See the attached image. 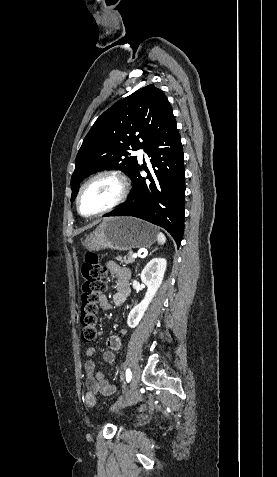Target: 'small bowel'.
<instances>
[{"label": "small bowel", "mask_w": 277, "mask_h": 477, "mask_svg": "<svg viewBox=\"0 0 277 477\" xmlns=\"http://www.w3.org/2000/svg\"><path fill=\"white\" fill-rule=\"evenodd\" d=\"M105 268L111 275L116 276V291L113 295V302L116 305L123 304L130 292L129 280H130V271L129 269L120 266L114 261H109L105 264ZM101 308L103 310H109L111 305L107 298H103L101 302ZM126 334L125 329H120L118 333L113 334L107 338V347L108 349L103 353V359L105 362L112 364L115 362V351L119 350L121 347V335ZM96 354L94 348H87L85 355L91 357ZM84 370L86 373V387L93 394L101 395H112L116 386L112 384L107 375L103 372L96 371V364L93 360H86L84 363Z\"/></svg>", "instance_id": "c3829d8e"}]
</instances>
